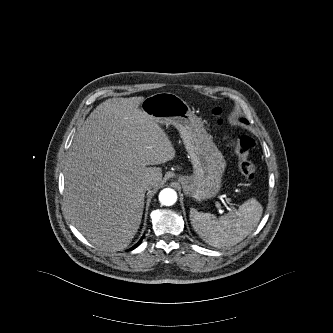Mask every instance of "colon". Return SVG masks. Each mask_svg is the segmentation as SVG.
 Wrapping results in <instances>:
<instances>
[{
	"label": "colon",
	"instance_id": "obj_1",
	"mask_svg": "<svg viewBox=\"0 0 333 333\" xmlns=\"http://www.w3.org/2000/svg\"><path fill=\"white\" fill-rule=\"evenodd\" d=\"M212 115L217 118V125H222V110L219 107H215L211 111ZM231 145L235 149L239 161L238 166L242 175L248 180L253 181L255 178L256 166L250 158V151L255 146L254 140L248 135H241L231 141Z\"/></svg>",
	"mask_w": 333,
	"mask_h": 333
}]
</instances>
